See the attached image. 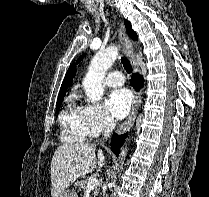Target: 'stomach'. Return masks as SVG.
Segmentation results:
<instances>
[{
  "mask_svg": "<svg viewBox=\"0 0 209 197\" xmlns=\"http://www.w3.org/2000/svg\"><path fill=\"white\" fill-rule=\"evenodd\" d=\"M58 197H78L77 193L74 190L67 189L61 192Z\"/></svg>",
  "mask_w": 209,
  "mask_h": 197,
  "instance_id": "stomach-1",
  "label": "stomach"
}]
</instances>
